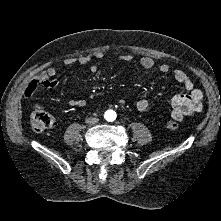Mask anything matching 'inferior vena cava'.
<instances>
[{
	"label": "inferior vena cava",
	"mask_w": 221,
	"mask_h": 221,
	"mask_svg": "<svg viewBox=\"0 0 221 221\" xmlns=\"http://www.w3.org/2000/svg\"><path fill=\"white\" fill-rule=\"evenodd\" d=\"M99 121V119L98 118H96V117H89V118H87L86 120H85V122L87 123V124H95V123H97Z\"/></svg>",
	"instance_id": "602c4592"
}]
</instances>
